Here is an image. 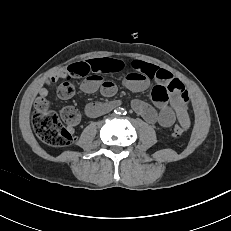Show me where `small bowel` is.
<instances>
[{"label": "small bowel", "mask_w": 231, "mask_h": 231, "mask_svg": "<svg viewBox=\"0 0 231 231\" xmlns=\"http://www.w3.org/2000/svg\"><path fill=\"white\" fill-rule=\"evenodd\" d=\"M81 72L84 80L81 90L84 93H94L98 90L104 96H112L117 87L111 81L103 79L104 74L117 73L125 69V63L113 58H96L73 64ZM69 75L68 68L61 69L47 79L45 86L38 90L35 108L47 104L48 86ZM154 81L151 90L152 104L142 100H134L132 108L149 123H157L162 127H171L176 120L190 126L188 114L189 96L183 83L169 71L154 64L135 60L130 63V70L124 75L123 84L134 92L146 90ZM112 107V104L92 102L85 106V114L97 116Z\"/></svg>", "instance_id": "1"}]
</instances>
